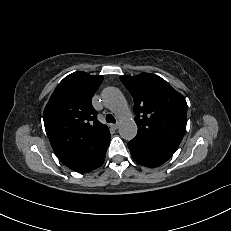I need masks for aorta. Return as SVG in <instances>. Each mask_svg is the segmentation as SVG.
I'll return each instance as SVG.
<instances>
[{"label":"aorta","mask_w":231,"mask_h":231,"mask_svg":"<svg viewBox=\"0 0 231 231\" xmlns=\"http://www.w3.org/2000/svg\"><path fill=\"white\" fill-rule=\"evenodd\" d=\"M102 99L105 106L119 119L120 136L125 140H132L137 134V125L121 91L107 87L102 92Z\"/></svg>","instance_id":"1"}]
</instances>
